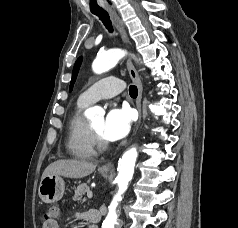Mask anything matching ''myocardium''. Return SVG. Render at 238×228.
Masks as SVG:
<instances>
[{
	"instance_id": "myocardium-1",
	"label": "myocardium",
	"mask_w": 238,
	"mask_h": 228,
	"mask_svg": "<svg viewBox=\"0 0 238 228\" xmlns=\"http://www.w3.org/2000/svg\"><path fill=\"white\" fill-rule=\"evenodd\" d=\"M91 137L93 144L95 146V149L97 151H106L109 147L108 142L100 135L98 134L91 125H89Z\"/></svg>"
}]
</instances>
